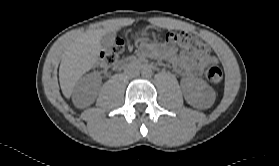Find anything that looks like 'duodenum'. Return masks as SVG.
<instances>
[{"instance_id":"duodenum-1","label":"duodenum","mask_w":279,"mask_h":166,"mask_svg":"<svg viewBox=\"0 0 279 166\" xmlns=\"http://www.w3.org/2000/svg\"><path fill=\"white\" fill-rule=\"evenodd\" d=\"M147 66L148 65L144 61H142V60L127 59V60L120 61L115 66V69L116 70H123V69L130 68V67L145 68Z\"/></svg>"}]
</instances>
